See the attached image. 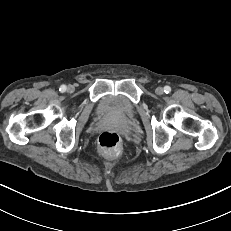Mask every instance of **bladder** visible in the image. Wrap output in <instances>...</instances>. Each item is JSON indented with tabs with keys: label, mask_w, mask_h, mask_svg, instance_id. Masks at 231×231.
I'll use <instances>...</instances> for the list:
<instances>
[{
	"label": "bladder",
	"mask_w": 231,
	"mask_h": 231,
	"mask_svg": "<svg viewBox=\"0 0 231 231\" xmlns=\"http://www.w3.org/2000/svg\"><path fill=\"white\" fill-rule=\"evenodd\" d=\"M98 112L115 119L128 120L134 115V106L124 97L108 95L99 102Z\"/></svg>",
	"instance_id": "bladder-1"
}]
</instances>
